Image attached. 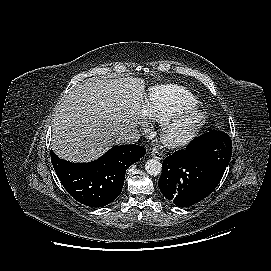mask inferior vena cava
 <instances>
[{
  "label": "inferior vena cava",
  "mask_w": 271,
  "mask_h": 271,
  "mask_svg": "<svg viewBox=\"0 0 271 271\" xmlns=\"http://www.w3.org/2000/svg\"><path fill=\"white\" fill-rule=\"evenodd\" d=\"M140 133L135 128L121 132L116 139L117 144H134L140 139Z\"/></svg>",
  "instance_id": "obj_1"
}]
</instances>
